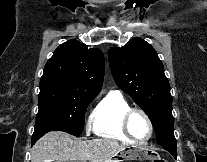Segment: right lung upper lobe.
Returning a JSON list of instances; mask_svg holds the SVG:
<instances>
[{
    "label": "right lung upper lobe",
    "instance_id": "right-lung-upper-lobe-1",
    "mask_svg": "<svg viewBox=\"0 0 207 162\" xmlns=\"http://www.w3.org/2000/svg\"><path fill=\"white\" fill-rule=\"evenodd\" d=\"M104 76L101 50L87 49L72 39L61 44L45 65L40 90L54 89L85 96H97Z\"/></svg>",
    "mask_w": 207,
    "mask_h": 162
}]
</instances>
